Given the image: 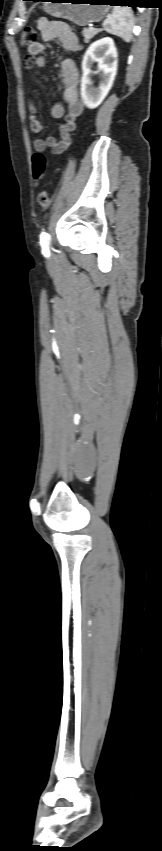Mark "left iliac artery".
Returning <instances> with one entry per match:
<instances>
[{
	"label": "left iliac artery",
	"instance_id": "obj_1",
	"mask_svg": "<svg viewBox=\"0 0 162 851\" xmlns=\"http://www.w3.org/2000/svg\"><path fill=\"white\" fill-rule=\"evenodd\" d=\"M40 245H41V248H42L43 255L49 256L50 252H49L48 241H47V236H46L45 232H42L41 235H40Z\"/></svg>",
	"mask_w": 162,
	"mask_h": 851
}]
</instances>
